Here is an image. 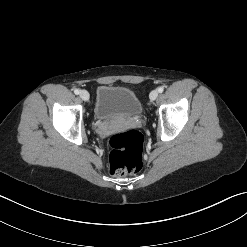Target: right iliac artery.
I'll use <instances>...</instances> for the list:
<instances>
[{
  "label": "right iliac artery",
  "mask_w": 247,
  "mask_h": 247,
  "mask_svg": "<svg viewBox=\"0 0 247 247\" xmlns=\"http://www.w3.org/2000/svg\"><path fill=\"white\" fill-rule=\"evenodd\" d=\"M74 93H75L76 95H78V94L80 93V90H79V89H74Z\"/></svg>",
  "instance_id": "obj_1"
}]
</instances>
